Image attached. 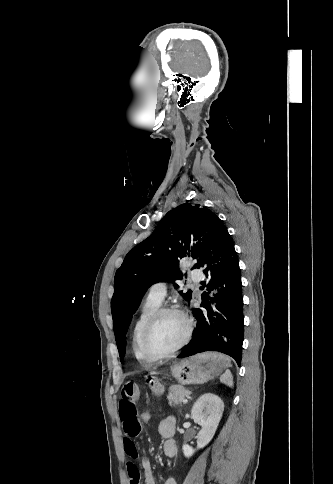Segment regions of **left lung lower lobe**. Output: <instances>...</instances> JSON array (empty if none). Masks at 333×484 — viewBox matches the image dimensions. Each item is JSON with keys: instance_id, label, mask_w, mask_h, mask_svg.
I'll use <instances>...</instances> for the list:
<instances>
[{"instance_id": "0a47b994", "label": "left lung lower lobe", "mask_w": 333, "mask_h": 484, "mask_svg": "<svg viewBox=\"0 0 333 484\" xmlns=\"http://www.w3.org/2000/svg\"><path fill=\"white\" fill-rule=\"evenodd\" d=\"M208 278L201 307L193 310V338L178 358L203 351H219L240 366L244 333L240 269L234 244L222 221L215 217L195 264ZM202 287L201 289H203Z\"/></svg>"}]
</instances>
